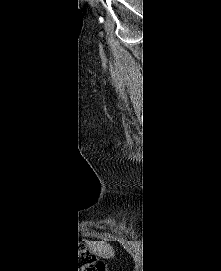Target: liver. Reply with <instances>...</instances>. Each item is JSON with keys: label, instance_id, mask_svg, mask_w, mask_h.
Masks as SVG:
<instances>
[{"label": "liver", "instance_id": "1", "mask_svg": "<svg viewBox=\"0 0 221 271\" xmlns=\"http://www.w3.org/2000/svg\"><path fill=\"white\" fill-rule=\"evenodd\" d=\"M91 249L97 251L101 257H114V249L110 243H100V241H91Z\"/></svg>", "mask_w": 221, "mask_h": 271}]
</instances>
